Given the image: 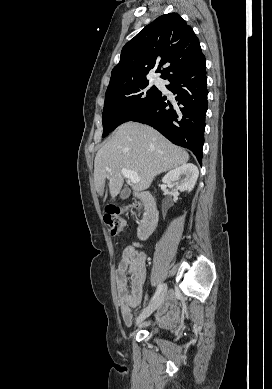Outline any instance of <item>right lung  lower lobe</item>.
Returning <instances> with one entry per match:
<instances>
[{
  "label": "right lung lower lobe",
  "instance_id": "right-lung-lower-lobe-1",
  "mask_svg": "<svg viewBox=\"0 0 272 389\" xmlns=\"http://www.w3.org/2000/svg\"><path fill=\"white\" fill-rule=\"evenodd\" d=\"M206 60L172 74L167 89L176 94L170 103L160 92L158 97L131 121L148 124L176 145L190 149L202 162L205 115L207 111Z\"/></svg>",
  "mask_w": 272,
  "mask_h": 389
}]
</instances>
